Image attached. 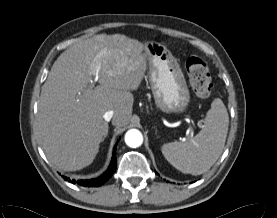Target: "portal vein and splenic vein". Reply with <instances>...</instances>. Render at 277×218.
I'll list each match as a JSON object with an SVG mask.
<instances>
[{
	"label": "portal vein and splenic vein",
	"instance_id": "18ae733b",
	"mask_svg": "<svg viewBox=\"0 0 277 218\" xmlns=\"http://www.w3.org/2000/svg\"><path fill=\"white\" fill-rule=\"evenodd\" d=\"M92 74H93V76H95V79H98V70H93ZM93 87H94V83H93V81H91L89 88H93ZM191 135H192V133H191Z\"/></svg>",
	"mask_w": 277,
	"mask_h": 218
}]
</instances>
